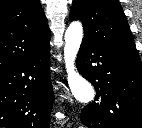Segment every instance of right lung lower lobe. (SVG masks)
Returning <instances> with one entry per match:
<instances>
[{
  "label": "right lung lower lobe",
  "instance_id": "1",
  "mask_svg": "<svg viewBox=\"0 0 142 128\" xmlns=\"http://www.w3.org/2000/svg\"><path fill=\"white\" fill-rule=\"evenodd\" d=\"M50 45L0 73V127L48 128L54 101Z\"/></svg>",
  "mask_w": 142,
  "mask_h": 128
}]
</instances>
